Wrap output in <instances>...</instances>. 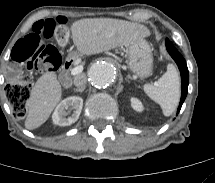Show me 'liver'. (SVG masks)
Listing matches in <instances>:
<instances>
[{"label":"liver","mask_w":215,"mask_h":183,"mask_svg":"<svg viewBox=\"0 0 215 183\" xmlns=\"http://www.w3.org/2000/svg\"><path fill=\"white\" fill-rule=\"evenodd\" d=\"M73 43L80 56L94 55L150 36L144 25L111 18L81 19L71 26ZM62 88L54 72L43 74L35 83L26 104L25 128L34 130L50 117L61 100Z\"/></svg>","instance_id":"1"}]
</instances>
